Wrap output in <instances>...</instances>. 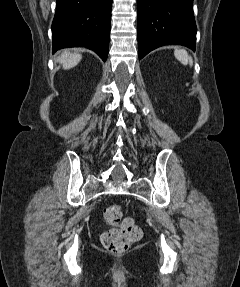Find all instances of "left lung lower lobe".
I'll use <instances>...</instances> for the list:
<instances>
[{
    "mask_svg": "<svg viewBox=\"0 0 240 287\" xmlns=\"http://www.w3.org/2000/svg\"><path fill=\"white\" fill-rule=\"evenodd\" d=\"M139 59L167 44L195 51L193 0H137Z\"/></svg>",
    "mask_w": 240,
    "mask_h": 287,
    "instance_id": "0a47b994",
    "label": "left lung lower lobe"
}]
</instances>
